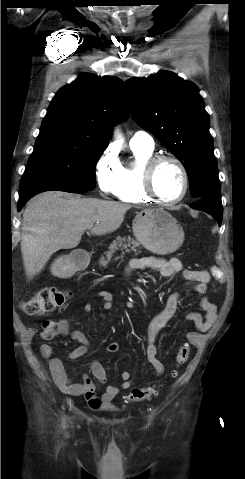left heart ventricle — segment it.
<instances>
[{"mask_svg":"<svg viewBox=\"0 0 245 479\" xmlns=\"http://www.w3.org/2000/svg\"><path fill=\"white\" fill-rule=\"evenodd\" d=\"M154 184L163 200H174L180 196L183 189L182 174L174 163L165 162L158 168Z\"/></svg>","mask_w":245,"mask_h":479,"instance_id":"1","label":"left heart ventricle"}]
</instances>
